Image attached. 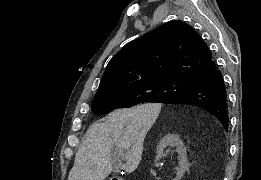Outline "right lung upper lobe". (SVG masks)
I'll return each instance as SVG.
<instances>
[{
  "label": "right lung upper lobe",
  "mask_w": 261,
  "mask_h": 180,
  "mask_svg": "<svg viewBox=\"0 0 261 180\" xmlns=\"http://www.w3.org/2000/svg\"><path fill=\"white\" fill-rule=\"evenodd\" d=\"M215 67L199 34L174 20L124 46L108 63L95 97L162 80L194 82Z\"/></svg>",
  "instance_id": "cb5924a9"
}]
</instances>
